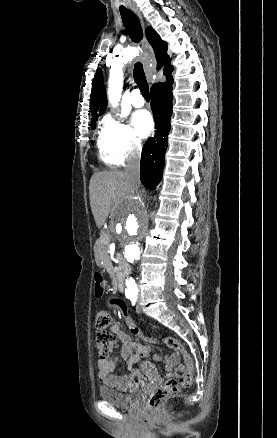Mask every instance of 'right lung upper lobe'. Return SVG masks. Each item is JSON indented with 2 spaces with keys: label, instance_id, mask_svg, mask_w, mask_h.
Wrapping results in <instances>:
<instances>
[{
  "label": "right lung upper lobe",
  "instance_id": "obj_1",
  "mask_svg": "<svg viewBox=\"0 0 277 438\" xmlns=\"http://www.w3.org/2000/svg\"><path fill=\"white\" fill-rule=\"evenodd\" d=\"M146 37L154 49V52L158 61V69L165 65L164 74L169 76L172 72V66H170V60L167 55V44L161 40L160 36L151 27L146 29ZM90 107L92 112V120L98 119L99 115H102L107 107V97L105 93V87L103 85L102 71L97 69L95 77L92 82V92L90 98ZM91 120V121H92Z\"/></svg>",
  "mask_w": 277,
  "mask_h": 438
}]
</instances>
